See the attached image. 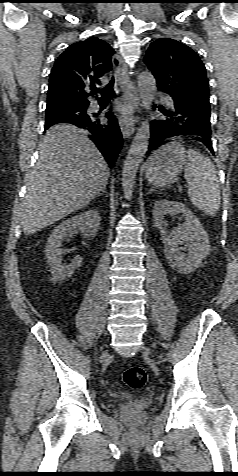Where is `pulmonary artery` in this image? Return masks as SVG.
Listing matches in <instances>:
<instances>
[{
  "mask_svg": "<svg viewBox=\"0 0 238 476\" xmlns=\"http://www.w3.org/2000/svg\"><path fill=\"white\" fill-rule=\"evenodd\" d=\"M162 100H163V102H164L166 105H168V106H173V101H172L171 98L164 97ZM96 109H97V107H96L95 105L92 106V110H96Z\"/></svg>",
  "mask_w": 238,
  "mask_h": 476,
  "instance_id": "obj_1",
  "label": "pulmonary artery"
}]
</instances>
